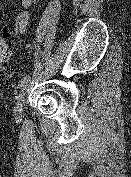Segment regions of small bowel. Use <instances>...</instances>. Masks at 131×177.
<instances>
[{"label": "small bowel", "mask_w": 131, "mask_h": 177, "mask_svg": "<svg viewBox=\"0 0 131 177\" xmlns=\"http://www.w3.org/2000/svg\"><path fill=\"white\" fill-rule=\"evenodd\" d=\"M22 10L15 17L14 31L18 34L25 32L29 21V8L33 0H19Z\"/></svg>", "instance_id": "c3829d8e"}]
</instances>
